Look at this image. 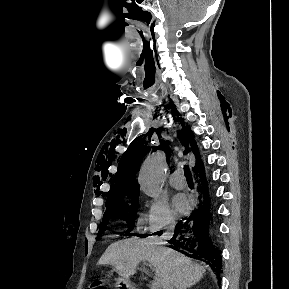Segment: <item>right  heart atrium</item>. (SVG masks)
Segmentation results:
<instances>
[{"label":"right heart atrium","instance_id":"d8ad5b80","mask_svg":"<svg viewBox=\"0 0 289 289\" xmlns=\"http://www.w3.org/2000/svg\"><path fill=\"white\" fill-rule=\"evenodd\" d=\"M146 207L147 211L143 218L145 231L156 233L175 225L176 217L165 197L159 196L147 200Z\"/></svg>","mask_w":289,"mask_h":289}]
</instances>
